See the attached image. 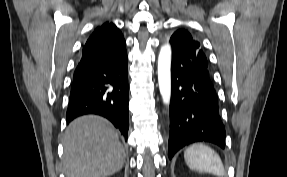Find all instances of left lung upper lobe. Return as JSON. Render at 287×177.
I'll return each instance as SVG.
<instances>
[{
	"mask_svg": "<svg viewBox=\"0 0 287 177\" xmlns=\"http://www.w3.org/2000/svg\"><path fill=\"white\" fill-rule=\"evenodd\" d=\"M170 41L175 45V49L185 60L208 71V62L201 45L193 39L188 31L183 29L176 31L171 36Z\"/></svg>",
	"mask_w": 287,
	"mask_h": 177,
	"instance_id": "obj_1",
	"label": "left lung upper lobe"
}]
</instances>
